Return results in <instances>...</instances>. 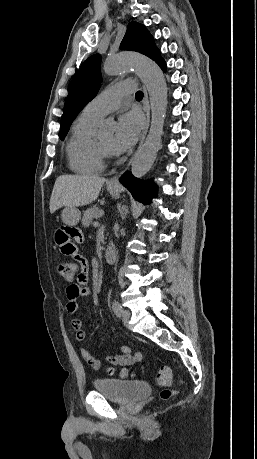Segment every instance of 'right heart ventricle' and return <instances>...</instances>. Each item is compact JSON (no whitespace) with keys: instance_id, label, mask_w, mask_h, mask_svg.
<instances>
[{"instance_id":"1","label":"right heart ventricle","mask_w":257,"mask_h":459,"mask_svg":"<svg viewBox=\"0 0 257 459\" xmlns=\"http://www.w3.org/2000/svg\"><path fill=\"white\" fill-rule=\"evenodd\" d=\"M98 121L99 119L82 113L73 125L66 152L69 167L77 174H99L104 169V158L93 135Z\"/></svg>"}]
</instances>
